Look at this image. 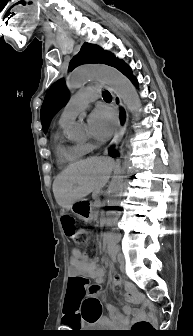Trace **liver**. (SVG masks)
I'll return each mask as SVG.
<instances>
[{"label": "liver", "mask_w": 193, "mask_h": 336, "mask_svg": "<svg viewBox=\"0 0 193 336\" xmlns=\"http://www.w3.org/2000/svg\"><path fill=\"white\" fill-rule=\"evenodd\" d=\"M114 162L105 157H89L71 164L54 180L53 193L57 204L69 210L72 204L91 192L99 193L106 185Z\"/></svg>", "instance_id": "6515ba94"}]
</instances>
